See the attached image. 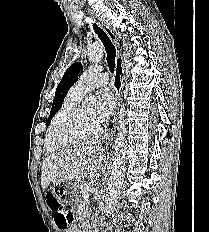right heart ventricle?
<instances>
[{"instance_id":"obj_1","label":"right heart ventricle","mask_w":209,"mask_h":232,"mask_svg":"<svg viewBox=\"0 0 209 232\" xmlns=\"http://www.w3.org/2000/svg\"><path fill=\"white\" fill-rule=\"evenodd\" d=\"M79 100L72 98L69 94L67 95L65 101L63 102L60 109L55 114L51 125L46 134L45 146L47 151L54 152L57 151L70 143L59 141L54 136V128L58 125L61 119L65 116L66 113L74 109L79 104Z\"/></svg>"}]
</instances>
